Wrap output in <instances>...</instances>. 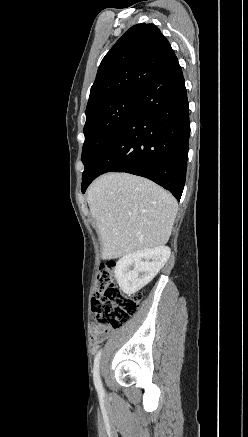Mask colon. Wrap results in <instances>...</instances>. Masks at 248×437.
I'll return each mask as SVG.
<instances>
[{"label": "colon", "mask_w": 248, "mask_h": 437, "mask_svg": "<svg viewBox=\"0 0 248 437\" xmlns=\"http://www.w3.org/2000/svg\"><path fill=\"white\" fill-rule=\"evenodd\" d=\"M140 301V294L126 295L118 288L112 262L100 267L91 298L92 320L96 327H121L137 312Z\"/></svg>", "instance_id": "obj_1"}]
</instances>
